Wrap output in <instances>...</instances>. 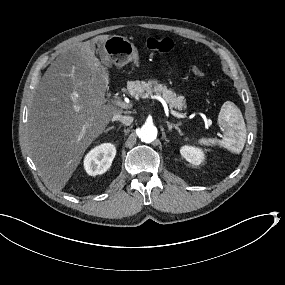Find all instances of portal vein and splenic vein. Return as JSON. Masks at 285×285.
I'll use <instances>...</instances> for the list:
<instances>
[{"label":"portal vein and splenic vein","mask_w":285,"mask_h":285,"mask_svg":"<svg viewBox=\"0 0 285 285\" xmlns=\"http://www.w3.org/2000/svg\"><path fill=\"white\" fill-rule=\"evenodd\" d=\"M143 98H148V94L143 95ZM151 98L160 101L161 104H162L163 107H164V110H165V111H168L167 102H166V100H165L163 97H161L160 95H154V96H151ZM117 105L122 107L123 102L117 101ZM171 114H172L173 116L177 117V118H185V117H186L184 114L178 113V112H176V111H174V110H171Z\"/></svg>","instance_id":"obj_1"}]
</instances>
